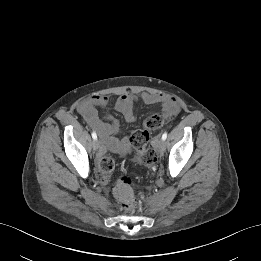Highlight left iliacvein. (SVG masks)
I'll list each match as a JSON object with an SVG mask.
<instances>
[{
  "instance_id": "obj_1",
  "label": "left iliac vein",
  "mask_w": 261,
  "mask_h": 261,
  "mask_svg": "<svg viewBox=\"0 0 261 261\" xmlns=\"http://www.w3.org/2000/svg\"><path fill=\"white\" fill-rule=\"evenodd\" d=\"M165 140H163V139H159L158 141H157V149L159 150V152H163L164 151V149H165Z\"/></svg>"
}]
</instances>
